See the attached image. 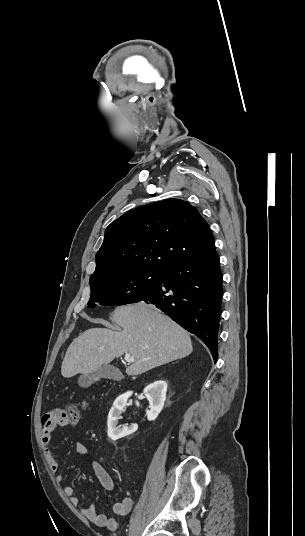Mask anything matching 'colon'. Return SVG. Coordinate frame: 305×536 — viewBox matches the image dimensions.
Segmentation results:
<instances>
[{
  "mask_svg": "<svg viewBox=\"0 0 305 536\" xmlns=\"http://www.w3.org/2000/svg\"><path fill=\"white\" fill-rule=\"evenodd\" d=\"M86 405H87V402L84 401V406ZM65 409H66V412L64 415H67L69 417V423L75 424L79 419L80 410H81L80 406L69 404L65 406Z\"/></svg>",
  "mask_w": 305,
  "mask_h": 536,
  "instance_id": "1",
  "label": "colon"
}]
</instances>
